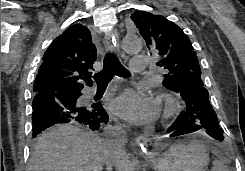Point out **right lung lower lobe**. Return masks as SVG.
Returning a JSON list of instances; mask_svg holds the SVG:
<instances>
[{"label": "right lung lower lobe", "instance_id": "1", "mask_svg": "<svg viewBox=\"0 0 245 171\" xmlns=\"http://www.w3.org/2000/svg\"><path fill=\"white\" fill-rule=\"evenodd\" d=\"M82 89L70 88L55 93H37L33 100V137L57 123L79 122L98 130L109 121L100 103L80 104Z\"/></svg>", "mask_w": 245, "mask_h": 171}]
</instances>
